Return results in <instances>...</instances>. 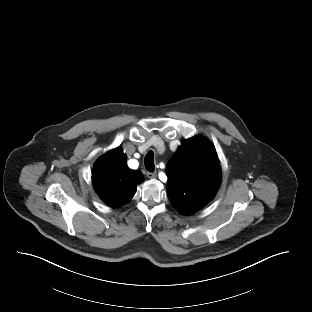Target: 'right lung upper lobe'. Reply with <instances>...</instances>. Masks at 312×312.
<instances>
[{
  "label": "right lung upper lobe",
  "mask_w": 312,
  "mask_h": 312,
  "mask_svg": "<svg viewBox=\"0 0 312 312\" xmlns=\"http://www.w3.org/2000/svg\"><path fill=\"white\" fill-rule=\"evenodd\" d=\"M92 181L100 198L110 207L118 208L134 196L144 177L140 171L128 168L126 155L115 148L96 162Z\"/></svg>",
  "instance_id": "1"
}]
</instances>
